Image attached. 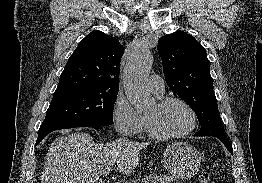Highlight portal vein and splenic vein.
<instances>
[{"instance_id":"portal-vein-and-splenic-vein-1","label":"portal vein and splenic vein","mask_w":262,"mask_h":183,"mask_svg":"<svg viewBox=\"0 0 262 183\" xmlns=\"http://www.w3.org/2000/svg\"><path fill=\"white\" fill-rule=\"evenodd\" d=\"M109 173H110V170H105V171L102 172L101 175H102L103 177H106V176L109 175Z\"/></svg>"}]
</instances>
